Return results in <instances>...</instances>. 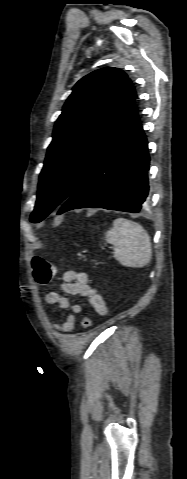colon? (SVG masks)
<instances>
[{
    "label": "colon",
    "mask_w": 187,
    "mask_h": 479,
    "mask_svg": "<svg viewBox=\"0 0 187 479\" xmlns=\"http://www.w3.org/2000/svg\"><path fill=\"white\" fill-rule=\"evenodd\" d=\"M31 267L33 271V277L37 284H48L55 274V264L39 257L35 256L31 260ZM92 318L90 316H84L81 319V327L84 329L92 326Z\"/></svg>",
    "instance_id": "5ec220e1"
}]
</instances>
